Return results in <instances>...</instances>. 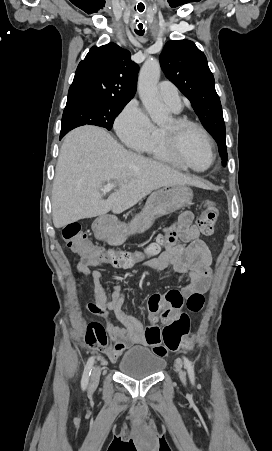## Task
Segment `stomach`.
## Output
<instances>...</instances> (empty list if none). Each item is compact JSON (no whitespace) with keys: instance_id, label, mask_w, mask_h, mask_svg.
<instances>
[{"instance_id":"0dacf381","label":"stomach","mask_w":272,"mask_h":451,"mask_svg":"<svg viewBox=\"0 0 272 451\" xmlns=\"http://www.w3.org/2000/svg\"><path fill=\"white\" fill-rule=\"evenodd\" d=\"M193 192L188 186H164L149 196L142 212L137 214L130 224H118L110 231L106 241L109 245H121L130 233H142L152 226L156 218L172 214L176 210L190 206Z\"/></svg>"}]
</instances>
